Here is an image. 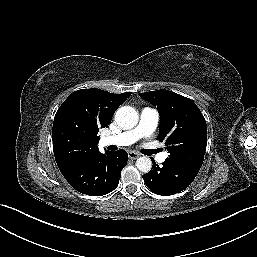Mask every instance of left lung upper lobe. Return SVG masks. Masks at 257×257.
<instances>
[{
    "mask_svg": "<svg viewBox=\"0 0 257 257\" xmlns=\"http://www.w3.org/2000/svg\"><path fill=\"white\" fill-rule=\"evenodd\" d=\"M160 113L159 141L165 142L170 159L182 160L201 168L207 145L206 121L189 98L169 90L139 94Z\"/></svg>",
    "mask_w": 257,
    "mask_h": 257,
    "instance_id": "5c2ea615",
    "label": "left lung upper lobe"
}]
</instances>
